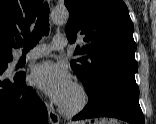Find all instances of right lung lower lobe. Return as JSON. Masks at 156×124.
<instances>
[{
    "instance_id": "obj_1",
    "label": "right lung lower lobe",
    "mask_w": 156,
    "mask_h": 124,
    "mask_svg": "<svg viewBox=\"0 0 156 124\" xmlns=\"http://www.w3.org/2000/svg\"><path fill=\"white\" fill-rule=\"evenodd\" d=\"M12 58L0 60V124H48L47 109L19 72L5 77Z\"/></svg>"
}]
</instances>
